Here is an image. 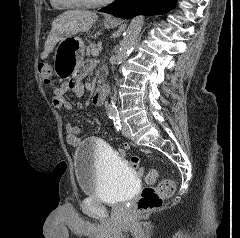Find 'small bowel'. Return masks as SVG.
<instances>
[{"label":"small bowel","mask_w":240,"mask_h":238,"mask_svg":"<svg viewBox=\"0 0 240 238\" xmlns=\"http://www.w3.org/2000/svg\"><path fill=\"white\" fill-rule=\"evenodd\" d=\"M95 67L94 61H86L82 65L79 77L73 79L71 81H65L60 84L59 87L52 89V103L58 109H66L71 110L72 106L70 102L65 98V93L67 91H72L77 97H81L84 94V86L81 83L80 77L86 75L90 70ZM66 134H67V143L76 147L80 143V139L78 137L80 133V128L71 123L66 124L65 126ZM123 148H132V143H123ZM127 149H120V154H127ZM131 167H136L137 174H146V166H142L141 156H130Z\"/></svg>","instance_id":"c3829d8e"}]
</instances>
